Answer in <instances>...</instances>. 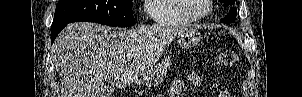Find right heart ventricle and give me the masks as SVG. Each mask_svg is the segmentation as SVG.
Returning a JSON list of instances; mask_svg holds the SVG:
<instances>
[{"label": "right heart ventricle", "mask_w": 302, "mask_h": 97, "mask_svg": "<svg viewBox=\"0 0 302 97\" xmlns=\"http://www.w3.org/2000/svg\"><path fill=\"white\" fill-rule=\"evenodd\" d=\"M146 13L160 26H188L192 22L178 11L176 0H147Z\"/></svg>", "instance_id": "1"}]
</instances>
